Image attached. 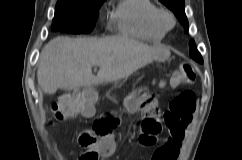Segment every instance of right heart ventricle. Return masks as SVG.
Here are the masks:
<instances>
[{
	"instance_id": "right-heart-ventricle-1",
	"label": "right heart ventricle",
	"mask_w": 242,
	"mask_h": 160,
	"mask_svg": "<svg viewBox=\"0 0 242 160\" xmlns=\"http://www.w3.org/2000/svg\"><path fill=\"white\" fill-rule=\"evenodd\" d=\"M158 10L153 0H118L111 12L110 24L122 36L158 42L166 33L155 21Z\"/></svg>"
}]
</instances>
